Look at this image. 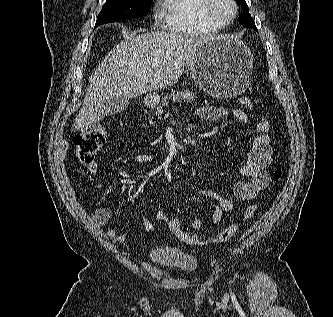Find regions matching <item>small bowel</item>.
Here are the masks:
<instances>
[{
    "label": "small bowel",
    "instance_id": "c3829d8e",
    "mask_svg": "<svg viewBox=\"0 0 333 317\" xmlns=\"http://www.w3.org/2000/svg\"><path fill=\"white\" fill-rule=\"evenodd\" d=\"M196 114L203 120L215 121L227 116H233L241 123H247L248 115L237 108L229 110L220 106H202L196 110ZM256 136L252 142V146L247 160L240 168L243 179L238 180L233 185V195L235 198L243 201L254 199L261 191L265 190L270 183L268 168L272 163L273 150L270 144L269 129L270 124L266 119H260L256 124ZM135 162L140 164H148L153 161V156L149 153L137 154L134 157ZM96 164L93 165L92 171L96 172ZM199 193L207 198L214 200V208L212 212V224H219L225 212H232L235 209V203L232 199L219 194L218 192L200 189ZM155 218L160 221L167 222L170 218L169 214L162 211L154 212ZM112 217V211L109 208H98L93 213V220L98 226L106 225ZM142 221L144 229L148 232L155 230V225L149 215L142 212ZM201 218H195L191 222V227L198 230L203 226ZM106 235L111 240L124 243L128 240V235L119 233L117 230L110 228Z\"/></svg>",
    "mask_w": 333,
    "mask_h": 317
}]
</instances>
